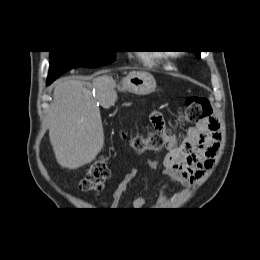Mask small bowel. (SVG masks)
I'll return each mask as SVG.
<instances>
[{"mask_svg":"<svg viewBox=\"0 0 260 260\" xmlns=\"http://www.w3.org/2000/svg\"><path fill=\"white\" fill-rule=\"evenodd\" d=\"M150 122L154 129L165 130L162 113L154 109L150 115ZM219 124L214 118L199 122L187 130L185 137L179 140L171 135L167 145L168 152L163 160L148 159L145 162L152 177L155 172L167 178L164 190L172 184L191 185L198 181L206 170L212 167L220 146ZM140 169L133 168L125 175L112 194L111 207L117 208L120 199L129 189L130 184L138 176ZM146 200L137 196L133 200V207L144 208Z\"/></svg>","mask_w":260,"mask_h":260,"instance_id":"1","label":"small bowel"}]
</instances>
